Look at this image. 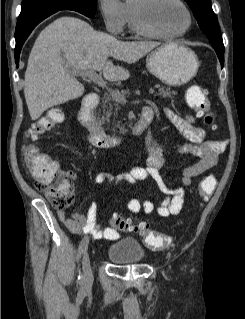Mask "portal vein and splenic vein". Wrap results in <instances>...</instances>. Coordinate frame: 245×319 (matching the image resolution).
<instances>
[{
	"label": "portal vein and splenic vein",
	"mask_w": 245,
	"mask_h": 319,
	"mask_svg": "<svg viewBox=\"0 0 245 319\" xmlns=\"http://www.w3.org/2000/svg\"><path fill=\"white\" fill-rule=\"evenodd\" d=\"M72 74L74 75H80L88 77L90 80L95 82L100 87H106V82L103 80L102 76H100L96 71L94 70H72ZM111 96L118 101L121 104H126L127 99L124 94H122L117 89H109ZM149 94H154V89H149ZM138 101H134L133 103H137Z\"/></svg>",
	"instance_id": "18ae733b"
}]
</instances>
